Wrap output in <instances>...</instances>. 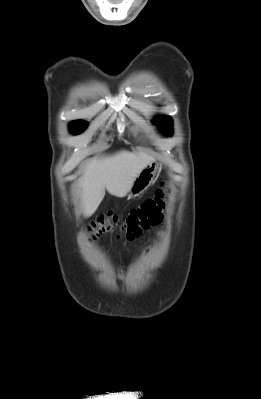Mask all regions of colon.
I'll return each instance as SVG.
<instances>
[{
	"label": "colon",
	"instance_id": "1",
	"mask_svg": "<svg viewBox=\"0 0 261 399\" xmlns=\"http://www.w3.org/2000/svg\"><path fill=\"white\" fill-rule=\"evenodd\" d=\"M166 199V190L161 187L153 197L133 208L123 219L112 213L100 216L88 225L86 234L90 240L106 233L133 240L144 230L157 226L161 222Z\"/></svg>",
	"mask_w": 261,
	"mask_h": 399
}]
</instances>
